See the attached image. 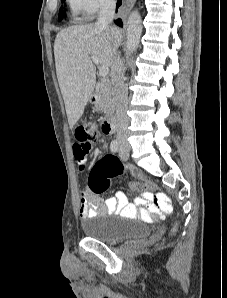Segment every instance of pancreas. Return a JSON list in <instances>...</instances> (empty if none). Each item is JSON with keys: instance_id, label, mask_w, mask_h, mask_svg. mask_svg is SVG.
Instances as JSON below:
<instances>
[{"instance_id": "1", "label": "pancreas", "mask_w": 227, "mask_h": 298, "mask_svg": "<svg viewBox=\"0 0 227 298\" xmlns=\"http://www.w3.org/2000/svg\"><path fill=\"white\" fill-rule=\"evenodd\" d=\"M96 94L98 97L96 109L106 115L112 114L115 110V99L111 82L108 79L102 80L96 86Z\"/></svg>"}]
</instances>
